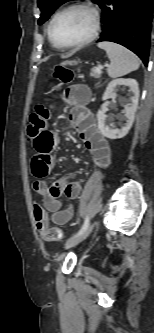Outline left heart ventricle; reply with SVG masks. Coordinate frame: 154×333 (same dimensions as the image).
Here are the masks:
<instances>
[{"mask_svg": "<svg viewBox=\"0 0 154 333\" xmlns=\"http://www.w3.org/2000/svg\"><path fill=\"white\" fill-rule=\"evenodd\" d=\"M92 28L88 12L73 9L61 14L53 23L52 34L60 45H69L87 37Z\"/></svg>", "mask_w": 154, "mask_h": 333, "instance_id": "b2bd125f", "label": "left heart ventricle"}]
</instances>
